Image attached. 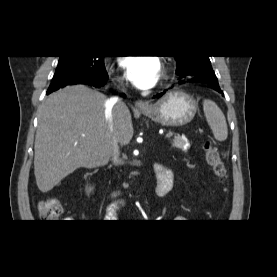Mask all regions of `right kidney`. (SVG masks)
Returning <instances> with one entry per match:
<instances>
[{
    "instance_id": "ca27d5eb",
    "label": "right kidney",
    "mask_w": 277,
    "mask_h": 277,
    "mask_svg": "<svg viewBox=\"0 0 277 277\" xmlns=\"http://www.w3.org/2000/svg\"><path fill=\"white\" fill-rule=\"evenodd\" d=\"M91 191H92V188H91V187H89V189H88L87 193H89V192H91Z\"/></svg>"
}]
</instances>
